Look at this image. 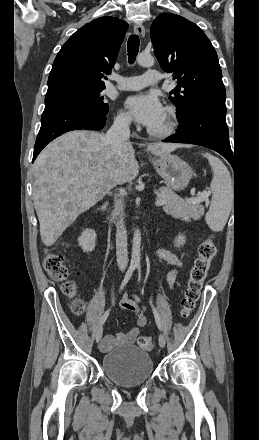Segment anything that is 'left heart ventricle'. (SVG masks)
Masks as SVG:
<instances>
[{
	"instance_id": "1",
	"label": "left heart ventricle",
	"mask_w": 259,
	"mask_h": 440,
	"mask_svg": "<svg viewBox=\"0 0 259 440\" xmlns=\"http://www.w3.org/2000/svg\"><path fill=\"white\" fill-rule=\"evenodd\" d=\"M165 124V116L163 115V118L161 119L160 122H158L156 125H154L153 127H151L152 129H160L164 126Z\"/></svg>"
}]
</instances>
